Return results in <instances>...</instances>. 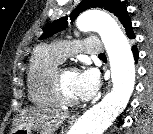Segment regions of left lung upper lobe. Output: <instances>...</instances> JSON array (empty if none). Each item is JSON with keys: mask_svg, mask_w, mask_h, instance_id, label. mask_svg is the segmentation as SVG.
<instances>
[{"mask_svg": "<svg viewBox=\"0 0 153 134\" xmlns=\"http://www.w3.org/2000/svg\"><path fill=\"white\" fill-rule=\"evenodd\" d=\"M96 7L104 8L110 11L111 13H113L115 16H117L121 24L124 26L127 36L130 39L135 38L134 32L132 30L131 19L127 12V8L125 4L119 0H82L79 6L72 11L70 15V20L74 21L79 13L87 9L96 8ZM67 20H68L67 17H62L52 22L39 39L42 40L48 38L53 34L66 28L68 24Z\"/></svg>", "mask_w": 153, "mask_h": 134, "instance_id": "obj_1", "label": "left lung upper lobe"}]
</instances>
